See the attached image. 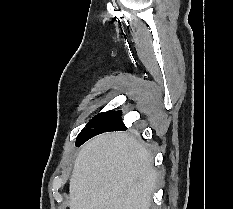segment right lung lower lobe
Segmentation results:
<instances>
[{
	"label": "right lung lower lobe",
	"mask_w": 233,
	"mask_h": 209,
	"mask_svg": "<svg viewBox=\"0 0 233 209\" xmlns=\"http://www.w3.org/2000/svg\"><path fill=\"white\" fill-rule=\"evenodd\" d=\"M126 130V127L125 126H115V127H111V128H106V129H103V130H100V131H97L93 134H91L89 137H85L84 139L80 140L79 143H78V146L82 145L85 141H87L88 139H90L91 137L95 136V135H98V134H101L103 132H108V131H124Z\"/></svg>",
	"instance_id": "98d812e1"
}]
</instances>
